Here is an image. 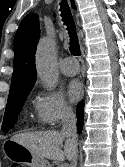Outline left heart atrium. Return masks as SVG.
Returning <instances> with one entry per match:
<instances>
[{"label":"left heart atrium","instance_id":"left-heart-atrium-1","mask_svg":"<svg viewBox=\"0 0 125 167\" xmlns=\"http://www.w3.org/2000/svg\"><path fill=\"white\" fill-rule=\"evenodd\" d=\"M67 95L71 101H77L83 93L82 86L79 81L71 80L67 85Z\"/></svg>","mask_w":125,"mask_h":167}]
</instances>
